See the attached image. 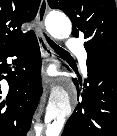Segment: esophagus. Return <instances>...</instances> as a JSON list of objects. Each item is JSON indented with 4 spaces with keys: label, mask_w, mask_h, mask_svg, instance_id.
Returning <instances> with one entry per match:
<instances>
[{
    "label": "esophagus",
    "mask_w": 117,
    "mask_h": 136,
    "mask_svg": "<svg viewBox=\"0 0 117 136\" xmlns=\"http://www.w3.org/2000/svg\"><path fill=\"white\" fill-rule=\"evenodd\" d=\"M47 0H41L39 11H38V16L37 20L39 23V28L37 30V36H38V41L40 48L42 50L43 56H44V66L42 70V83L43 87L47 88L53 81V79L47 75L45 71V65L53 58V51L50 49L48 46L44 36H43V31H44V21L47 13Z\"/></svg>",
    "instance_id": "34e87169"
}]
</instances>
